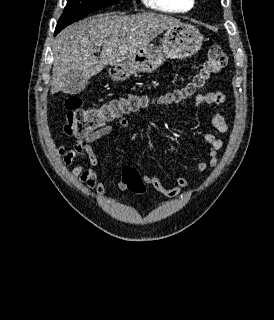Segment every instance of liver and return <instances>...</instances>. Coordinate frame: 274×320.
Here are the masks:
<instances>
[{
    "label": "liver",
    "mask_w": 274,
    "mask_h": 320,
    "mask_svg": "<svg viewBox=\"0 0 274 320\" xmlns=\"http://www.w3.org/2000/svg\"><path fill=\"white\" fill-rule=\"evenodd\" d=\"M180 20L164 14L122 16L117 12L90 16L65 28L55 38L51 94H78V80H89L104 66L120 64L133 58L138 50ZM102 48L99 58L94 56Z\"/></svg>",
    "instance_id": "liver-1"
}]
</instances>
